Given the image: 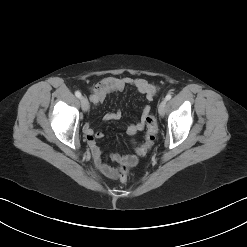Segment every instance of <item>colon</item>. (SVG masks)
<instances>
[{
    "label": "colon",
    "mask_w": 247,
    "mask_h": 247,
    "mask_svg": "<svg viewBox=\"0 0 247 247\" xmlns=\"http://www.w3.org/2000/svg\"><path fill=\"white\" fill-rule=\"evenodd\" d=\"M146 133L144 142L135 148L136 153L139 156H144L150 148L153 146L158 133L157 121L154 116L148 115L145 119ZM116 175L122 182L127 181L129 172V165L127 163H120L115 169Z\"/></svg>",
    "instance_id": "5ec220e1"
}]
</instances>
